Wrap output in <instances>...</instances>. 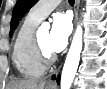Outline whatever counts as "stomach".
I'll use <instances>...</instances> for the list:
<instances>
[{
	"label": "stomach",
	"instance_id": "obj_1",
	"mask_svg": "<svg viewBox=\"0 0 107 89\" xmlns=\"http://www.w3.org/2000/svg\"><path fill=\"white\" fill-rule=\"evenodd\" d=\"M43 89H55L52 85H46Z\"/></svg>",
	"mask_w": 107,
	"mask_h": 89
}]
</instances>
